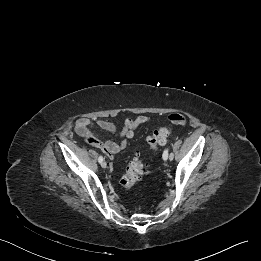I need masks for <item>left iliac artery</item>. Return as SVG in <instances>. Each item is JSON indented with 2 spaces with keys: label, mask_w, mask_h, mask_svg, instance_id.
I'll return each instance as SVG.
<instances>
[{
  "label": "left iliac artery",
  "mask_w": 261,
  "mask_h": 261,
  "mask_svg": "<svg viewBox=\"0 0 261 261\" xmlns=\"http://www.w3.org/2000/svg\"><path fill=\"white\" fill-rule=\"evenodd\" d=\"M162 157H163L164 160H167V158H168V149L164 150ZM169 158H170V160H172L174 158V154L171 153L169 155Z\"/></svg>",
  "instance_id": "left-iliac-artery-1"
}]
</instances>
